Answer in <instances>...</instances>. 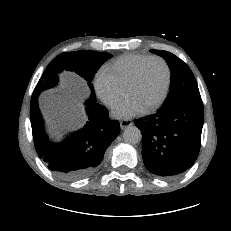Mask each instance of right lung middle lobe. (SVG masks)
Wrapping results in <instances>:
<instances>
[{
  "mask_svg": "<svg viewBox=\"0 0 231 231\" xmlns=\"http://www.w3.org/2000/svg\"><path fill=\"white\" fill-rule=\"evenodd\" d=\"M111 57L108 53L95 52L92 50H80L66 52L57 56L46 68L38 81L33 94H40L42 91L54 87L58 83V73L62 70H70L84 78L91 89L90 100L95 101L96 95L91 83L94 74L101 65Z\"/></svg>",
  "mask_w": 231,
  "mask_h": 231,
  "instance_id": "right-lung-middle-lobe-1",
  "label": "right lung middle lobe"
}]
</instances>
